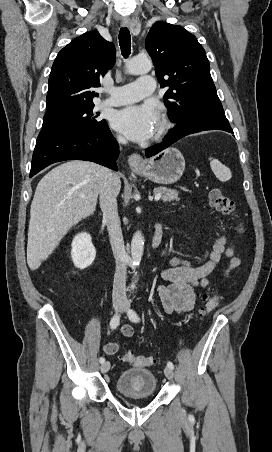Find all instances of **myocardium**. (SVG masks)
Masks as SVG:
<instances>
[{"label": "myocardium", "mask_w": 272, "mask_h": 452, "mask_svg": "<svg viewBox=\"0 0 272 452\" xmlns=\"http://www.w3.org/2000/svg\"><path fill=\"white\" fill-rule=\"evenodd\" d=\"M169 128H170V123L168 122V120L166 118L163 117L157 128L155 138L160 139L162 136H164L167 133Z\"/></svg>", "instance_id": "obj_1"}]
</instances>
